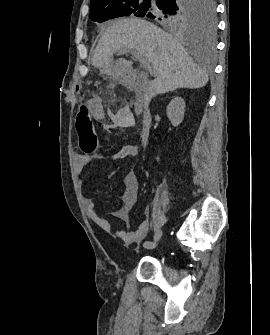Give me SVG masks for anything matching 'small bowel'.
Listing matches in <instances>:
<instances>
[{"mask_svg": "<svg viewBox=\"0 0 270 335\" xmlns=\"http://www.w3.org/2000/svg\"><path fill=\"white\" fill-rule=\"evenodd\" d=\"M96 101L90 100L87 105L92 109V114L96 119L103 117V112L95 107ZM138 154L137 147L135 145L123 146L113 157L112 160L119 161L128 157H136ZM102 159L101 155L89 156L85 154H78L75 158V170L78 175H81L85 168L94 160ZM140 190V183L138 176L134 169H130L124 176V191L121 199L123 206L122 208L111 212L112 216L127 220L129 211L132 205L135 203ZM85 208L88 217L104 232L113 233L112 224L109 220L99 216L95 204L90 200H85ZM145 215L148 216V211H145ZM149 231L148 220L140 222L134 230L131 231H117L114 234L117 235L124 244L138 243L142 241Z\"/></svg>", "mask_w": 270, "mask_h": 335, "instance_id": "1", "label": "small bowel"}]
</instances>
